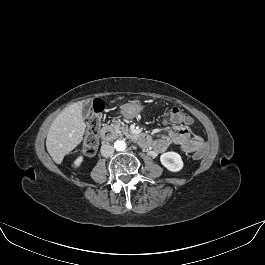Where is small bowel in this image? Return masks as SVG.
Returning <instances> with one entry per match:
<instances>
[{
  "label": "small bowel",
  "mask_w": 265,
  "mask_h": 265,
  "mask_svg": "<svg viewBox=\"0 0 265 265\" xmlns=\"http://www.w3.org/2000/svg\"><path fill=\"white\" fill-rule=\"evenodd\" d=\"M165 123L175 124L168 133L151 142L156 152H164L170 145L176 144L185 153H193L204 150L205 143L201 137L191 136L189 129L174 118H165Z\"/></svg>",
  "instance_id": "1"
}]
</instances>
